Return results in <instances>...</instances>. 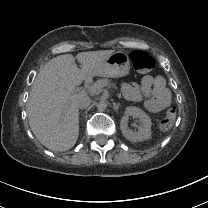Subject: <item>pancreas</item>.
Instances as JSON below:
<instances>
[{
	"instance_id": "1",
	"label": "pancreas",
	"mask_w": 208,
	"mask_h": 208,
	"mask_svg": "<svg viewBox=\"0 0 208 208\" xmlns=\"http://www.w3.org/2000/svg\"><path fill=\"white\" fill-rule=\"evenodd\" d=\"M97 82L101 83L103 86H107L108 88L110 87H113V88H118L115 86L114 83H111L110 81H108L107 79H101V80H98Z\"/></svg>"
}]
</instances>
